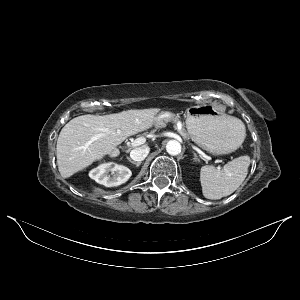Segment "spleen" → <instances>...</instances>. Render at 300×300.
I'll use <instances>...</instances> for the list:
<instances>
[{"instance_id":"spleen-1","label":"spleen","mask_w":300,"mask_h":300,"mask_svg":"<svg viewBox=\"0 0 300 300\" xmlns=\"http://www.w3.org/2000/svg\"><path fill=\"white\" fill-rule=\"evenodd\" d=\"M234 122L245 135V125L234 118ZM250 164L249 156H240L228 162L222 169L214 166H203L200 170V181L203 195L212 200L232 194L245 180Z\"/></svg>"}]
</instances>
